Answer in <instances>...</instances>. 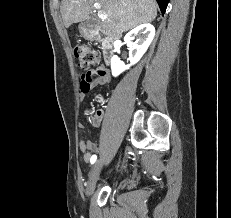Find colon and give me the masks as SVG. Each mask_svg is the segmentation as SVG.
Returning a JSON list of instances; mask_svg holds the SVG:
<instances>
[{
    "mask_svg": "<svg viewBox=\"0 0 231 218\" xmlns=\"http://www.w3.org/2000/svg\"><path fill=\"white\" fill-rule=\"evenodd\" d=\"M74 56L78 62V66L81 70L83 69H94L95 66H98L100 63V53L90 48L87 45H77L74 48ZM87 118L92 125L98 123L100 114L95 110H88Z\"/></svg>",
    "mask_w": 231,
    "mask_h": 218,
    "instance_id": "obj_1",
    "label": "colon"
}]
</instances>
